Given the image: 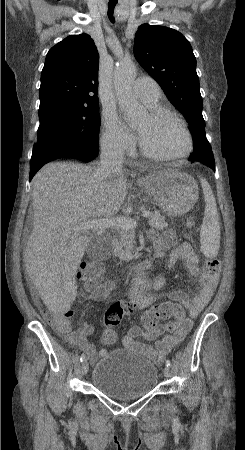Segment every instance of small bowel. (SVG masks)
Segmentation results:
<instances>
[{"label": "small bowel", "instance_id": "small-bowel-1", "mask_svg": "<svg viewBox=\"0 0 245 450\" xmlns=\"http://www.w3.org/2000/svg\"><path fill=\"white\" fill-rule=\"evenodd\" d=\"M154 245V257L162 258L168 252L167 266L173 268L179 261H183L189 273L196 278L201 285L199 293L189 298L179 290L172 291L169 294L171 301L181 303L187 310L188 318L183 322L167 321L159 323L155 328L143 330L139 327L133 328L122 339V345L130 349H142L148 355L157 358H163L177 346L187 335L193 325V319L197 318L208 304L217 284L219 275L210 274L204 271L200 266L199 255L188 243H178L175 233L172 230L163 231L160 234L152 235ZM101 278V285L97 288L84 286L85 294L94 300L108 299L114 283L104 281ZM166 284V277L159 275L153 279L145 273L137 274L133 278L128 294L134 308L138 310L149 309L162 295L161 289ZM94 332L91 324H84L81 328L71 331L65 335L64 340L71 346L79 347L81 351L95 358L104 354L106 350L96 351L94 346L88 341L87 337ZM144 336L147 340H157L154 348L138 341V337ZM102 342L106 343L102 338Z\"/></svg>", "mask_w": 245, "mask_h": 450}]
</instances>
